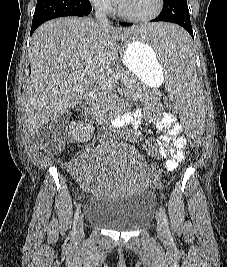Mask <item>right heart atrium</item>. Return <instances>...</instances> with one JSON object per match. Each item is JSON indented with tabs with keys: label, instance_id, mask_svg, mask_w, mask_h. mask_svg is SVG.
Here are the masks:
<instances>
[{
	"label": "right heart atrium",
	"instance_id": "d8ad5b80",
	"mask_svg": "<svg viewBox=\"0 0 227 267\" xmlns=\"http://www.w3.org/2000/svg\"><path fill=\"white\" fill-rule=\"evenodd\" d=\"M90 3L104 13L111 12L114 7V0H90Z\"/></svg>",
	"mask_w": 227,
	"mask_h": 267
}]
</instances>
